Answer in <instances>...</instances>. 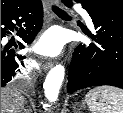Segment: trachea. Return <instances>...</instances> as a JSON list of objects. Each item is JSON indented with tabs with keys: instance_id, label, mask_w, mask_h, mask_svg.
I'll return each mask as SVG.
<instances>
[{
	"instance_id": "3493384b",
	"label": "trachea",
	"mask_w": 123,
	"mask_h": 113,
	"mask_svg": "<svg viewBox=\"0 0 123 113\" xmlns=\"http://www.w3.org/2000/svg\"><path fill=\"white\" fill-rule=\"evenodd\" d=\"M52 9L59 17L69 18V15L60 8H58L57 6H53Z\"/></svg>"
}]
</instances>
